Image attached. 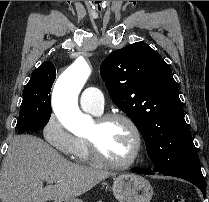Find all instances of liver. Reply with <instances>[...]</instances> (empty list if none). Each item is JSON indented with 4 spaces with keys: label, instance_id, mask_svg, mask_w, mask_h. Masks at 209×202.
I'll list each match as a JSON object with an SVG mask.
<instances>
[{
    "label": "liver",
    "instance_id": "liver-1",
    "mask_svg": "<svg viewBox=\"0 0 209 202\" xmlns=\"http://www.w3.org/2000/svg\"><path fill=\"white\" fill-rule=\"evenodd\" d=\"M112 173L66 160L42 139L18 135L10 142L0 172L2 202H47L78 197ZM47 178L55 185L43 186Z\"/></svg>",
    "mask_w": 209,
    "mask_h": 202
}]
</instances>
